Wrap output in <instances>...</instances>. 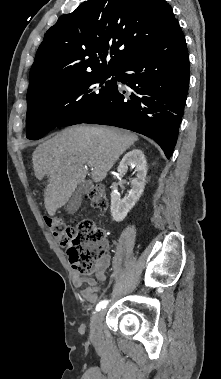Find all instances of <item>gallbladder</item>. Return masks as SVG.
<instances>
[{"instance_id": "1", "label": "gallbladder", "mask_w": 221, "mask_h": 379, "mask_svg": "<svg viewBox=\"0 0 221 379\" xmlns=\"http://www.w3.org/2000/svg\"><path fill=\"white\" fill-rule=\"evenodd\" d=\"M89 184L88 181H84L75 189L66 206V211L69 214H73L79 209L83 195L89 192Z\"/></svg>"}]
</instances>
